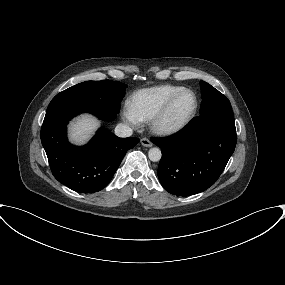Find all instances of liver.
I'll return each instance as SVG.
<instances>
[{"mask_svg": "<svg viewBox=\"0 0 285 285\" xmlns=\"http://www.w3.org/2000/svg\"><path fill=\"white\" fill-rule=\"evenodd\" d=\"M100 126V123L90 115H84L70 125V139L75 143H84Z\"/></svg>", "mask_w": 285, "mask_h": 285, "instance_id": "liver-1", "label": "liver"}]
</instances>
